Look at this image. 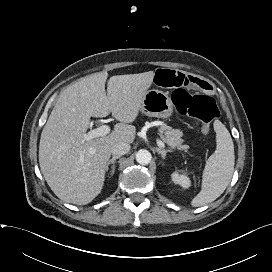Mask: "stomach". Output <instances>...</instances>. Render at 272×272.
Here are the masks:
<instances>
[{"instance_id": "obj_1", "label": "stomach", "mask_w": 272, "mask_h": 272, "mask_svg": "<svg viewBox=\"0 0 272 272\" xmlns=\"http://www.w3.org/2000/svg\"><path fill=\"white\" fill-rule=\"evenodd\" d=\"M140 110L150 117L168 118L173 113V103L167 93L152 89L146 92Z\"/></svg>"}]
</instances>
